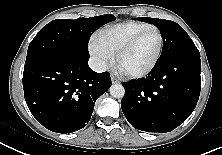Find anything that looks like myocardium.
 Masks as SVG:
<instances>
[{"instance_id": "obj_1", "label": "myocardium", "mask_w": 222, "mask_h": 155, "mask_svg": "<svg viewBox=\"0 0 222 155\" xmlns=\"http://www.w3.org/2000/svg\"><path fill=\"white\" fill-rule=\"evenodd\" d=\"M150 31H156L159 34L160 37V44H159V49H158V53L154 59V61L152 62V64L146 68L143 71L140 72H134V73H126L128 77L130 78H134V79H138V78H143L148 76L151 72H153V70L156 68V66L158 65L162 54H163V49H164V35L162 33V31L156 27H150L147 28L141 32H139L138 34H136L135 36H133L131 39H129L126 43H124L115 53V62L118 64V61L120 59V57L126 53L127 51H129L131 48H133L135 46V44L147 33H149Z\"/></svg>"}]
</instances>
